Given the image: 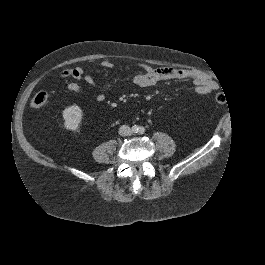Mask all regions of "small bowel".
Listing matches in <instances>:
<instances>
[{
	"instance_id": "c3829d8e",
	"label": "small bowel",
	"mask_w": 265,
	"mask_h": 265,
	"mask_svg": "<svg viewBox=\"0 0 265 265\" xmlns=\"http://www.w3.org/2000/svg\"><path fill=\"white\" fill-rule=\"evenodd\" d=\"M100 66L104 69H113L115 63L109 60L103 61ZM143 72L136 74L133 77V83L141 88L149 87L155 85L161 81L168 80H191L194 85L196 92L199 94H209L218 88V84L206 74L184 69H175L170 67H160L152 68L145 64L140 65ZM71 77L75 81L69 82L67 84V89L72 93H81L82 87L78 81L84 80L87 84L91 86H96V82L91 74L86 73L84 67H76L71 69ZM97 101L103 102L105 100V95L99 93L96 96Z\"/></svg>"
}]
</instances>
